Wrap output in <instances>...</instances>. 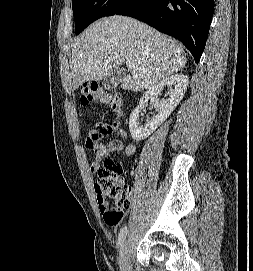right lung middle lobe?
Segmentation results:
<instances>
[{"mask_svg":"<svg viewBox=\"0 0 253 271\" xmlns=\"http://www.w3.org/2000/svg\"><path fill=\"white\" fill-rule=\"evenodd\" d=\"M126 0H72L75 32L79 34L93 21L116 13Z\"/></svg>","mask_w":253,"mask_h":271,"instance_id":"1","label":"right lung middle lobe"}]
</instances>
